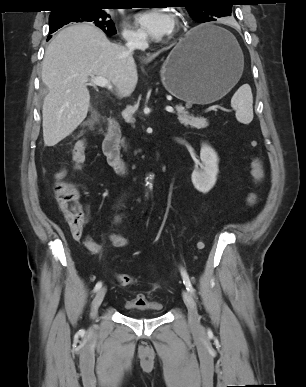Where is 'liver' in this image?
<instances>
[{"label": "liver", "mask_w": 306, "mask_h": 387, "mask_svg": "<svg viewBox=\"0 0 306 387\" xmlns=\"http://www.w3.org/2000/svg\"><path fill=\"white\" fill-rule=\"evenodd\" d=\"M41 77L48 88L42 109L46 146H55L86 118L90 107L88 77L106 78L120 94L133 92L138 81L132 52L110 42L102 30L88 23L66 27L52 39Z\"/></svg>", "instance_id": "obj_1"}]
</instances>
